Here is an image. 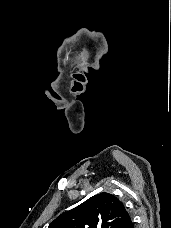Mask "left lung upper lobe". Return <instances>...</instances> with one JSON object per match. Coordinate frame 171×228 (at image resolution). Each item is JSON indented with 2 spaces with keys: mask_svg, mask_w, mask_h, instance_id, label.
Instances as JSON below:
<instances>
[{
  "mask_svg": "<svg viewBox=\"0 0 171 228\" xmlns=\"http://www.w3.org/2000/svg\"><path fill=\"white\" fill-rule=\"evenodd\" d=\"M128 219L129 213L115 195L100 193L60 215L48 228H122Z\"/></svg>",
  "mask_w": 171,
  "mask_h": 228,
  "instance_id": "left-lung-upper-lobe-1",
  "label": "left lung upper lobe"
}]
</instances>
